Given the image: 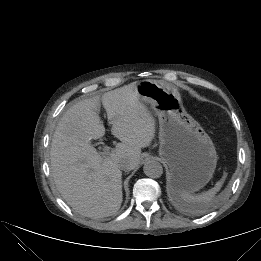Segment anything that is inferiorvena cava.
<instances>
[{
	"instance_id": "1",
	"label": "inferior vena cava",
	"mask_w": 261,
	"mask_h": 261,
	"mask_svg": "<svg viewBox=\"0 0 261 261\" xmlns=\"http://www.w3.org/2000/svg\"><path fill=\"white\" fill-rule=\"evenodd\" d=\"M119 168L121 169V170H130V169H132V166H131V164H130V162H128L127 160H123V161H121L120 163H119Z\"/></svg>"
}]
</instances>
